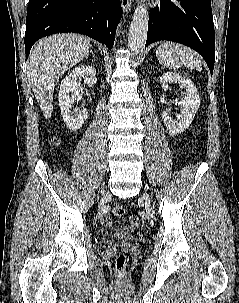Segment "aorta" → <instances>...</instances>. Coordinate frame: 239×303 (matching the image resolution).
<instances>
[{
    "instance_id": "aorta-1",
    "label": "aorta",
    "mask_w": 239,
    "mask_h": 303,
    "mask_svg": "<svg viewBox=\"0 0 239 303\" xmlns=\"http://www.w3.org/2000/svg\"><path fill=\"white\" fill-rule=\"evenodd\" d=\"M148 19L149 15L145 5H138L132 17L128 35L129 51L134 55H138L145 47Z\"/></svg>"
}]
</instances>
